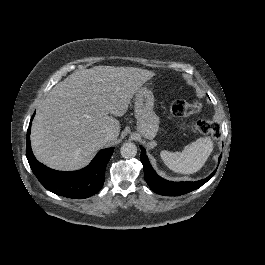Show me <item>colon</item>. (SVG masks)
I'll return each mask as SVG.
<instances>
[{
	"mask_svg": "<svg viewBox=\"0 0 265 265\" xmlns=\"http://www.w3.org/2000/svg\"><path fill=\"white\" fill-rule=\"evenodd\" d=\"M201 106V103L196 100L190 103L184 100H176L170 108V115L176 118L187 117L199 112L201 110ZM194 130L213 138H217L220 135L219 126L208 119H201L197 121L194 125Z\"/></svg>",
	"mask_w": 265,
	"mask_h": 265,
	"instance_id": "5ec220e1",
	"label": "colon"
}]
</instances>
